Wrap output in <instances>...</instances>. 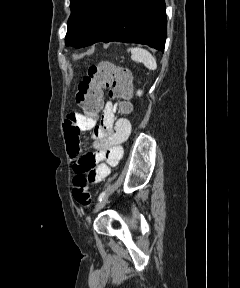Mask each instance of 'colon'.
I'll return each instance as SVG.
<instances>
[{
    "instance_id": "1",
    "label": "colon",
    "mask_w": 240,
    "mask_h": 288,
    "mask_svg": "<svg viewBox=\"0 0 240 288\" xmlns=\"http://www.w3.org/2000/svg\"><path fill=\"white\" fill-rule=\"evenodd\" d=\"M104 87L110 89V97L120 100L119 108L122 112L130 110L131 106L128 99L131 95V77L129 72L110 63H102L91 66L78 85L75 99L85 116L95 118L100 113ZM72 195L81 206H90L91 192L88 187V180L84 175H77L74 178Z\"/></svg>"
}]
</instances>
